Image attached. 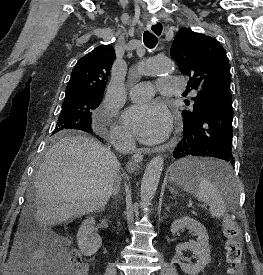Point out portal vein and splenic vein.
Listing matches in <instances>:
<instances>
[{
    "mask_svg": "<svg viewBox=\"0 0 263 275\" xmlns=\"http://www.w3.org/2000/svg\"><path fill=\"white\" fill-rule=\"evenodd\" d=\"M188 206H189V207L192 206V202H190V203L188 204Z\"/></svg>",
    "mask_w": 263,
    "mask_h": 275,
    "instance_id": "portal-vein-and-splenic-vein-1",
    "label": "portal vein and splenic vein"
}]
</instances>
